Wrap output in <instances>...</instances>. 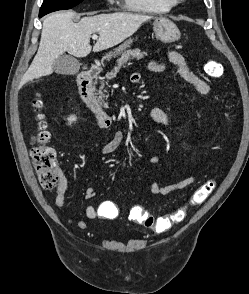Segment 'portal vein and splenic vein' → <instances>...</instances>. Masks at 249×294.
Instances as JSON below:
<instances>
[{"label": "portal vein and splenic vein", "instance_id": "18ae733b", "mask_svg": "<svg viewBox=\"0 0 249 294\" xmlns=\"http://www.w3.org/2000/svg\"><path fill=\"white\" fill-rule=\"evenodd\" d=\"M92 38H93L94 40H96V39L98 38V36L94 34V35L92 36Z\"/></svg>", "mask_w": 249, "mask_h": 294}]
</instances>
